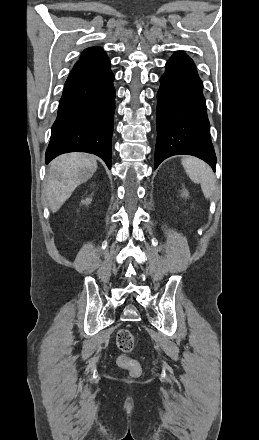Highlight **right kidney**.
<instances>
[{
  "instance_id": "right-kidney-1",
  "label": "right kidney",
  "mask_w": 259,
  "mask_h": 440,
  "mask_svg": "<svg viewBox=\"0 0 259 440\" xmlns=\"http://www.w3.org/2000/svg\"><path fill=\"white\" fill-rule=\"evenodd\" d=\"M92 201V198H86L85 200L82 201V204L88 205L90 204Z\"/></svg>"
}]
</instances>
